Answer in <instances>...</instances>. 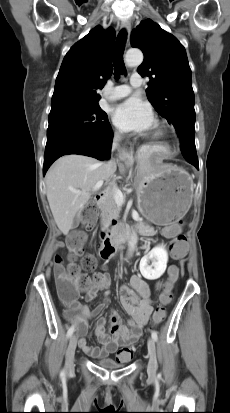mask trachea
Masks as SVG:
<instances>
[{
  "label": "trachea",
  "instance_id": "trachea-1",
  "mask_svg": "<svg viewBox=\"0 0 230 413\" xmlns=\"http://www.w3.org/2000/svg\"><path fill=\"white\" fill-rule=\"evenodd\" d=\"M127 33L125 30H122L116 40L114 52H113V66H114V75L118 79L121 74L126 75V70L123 62V54L125 49Z\"/></svg>",
  "mask_w": 230,
  "mask_h": 413
}]
</instances>
